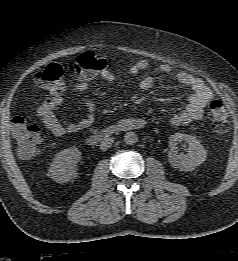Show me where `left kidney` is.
<instances>
[{"label": "left kidney", "instance_id": "obj_1", "mask_svg": "<svg viewBox=\"0 0 238 261\" xmlns=\"http://www.w3.org/2000/svg\"><path fill=\"white\" fill-rule=\"evenodd\" d=\"M182 141L188 145L187 154L177 153V144ZM169 147L168 161L173 168L180 171H193L207 157V152L200 141L188 134L174 133L171 135L169 137Z\"/></svg>", "mask_w": 238, "mask_h": 261}]
</instances>
